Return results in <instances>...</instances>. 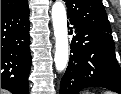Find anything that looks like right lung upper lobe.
<instances>
[{
    "label": "right lung upper lobe",
    "instance_id": "right-lung-upper-lobe-1",
    "mask_svg": "<svg viewBox=\"0 0 121 94\" xmlns=\"http://www.w3.org/2000/svg\"><path fill=\"white\" fill-rule=\"evenodd\" d=\"M27 0H1V15L23 7Z\"/></svg>",
    "mask_w": 121,
    "mask_h": 94
}]
</instances>
